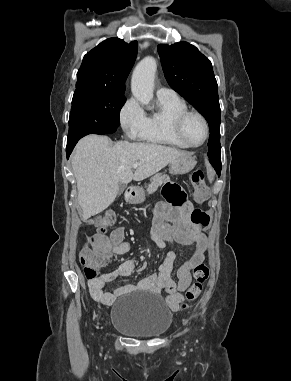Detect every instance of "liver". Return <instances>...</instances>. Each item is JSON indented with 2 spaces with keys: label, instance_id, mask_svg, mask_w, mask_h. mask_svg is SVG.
Instances as JSON below:
<instances>
[{
  "label": "liver",
  "instance_id": "liver-1",
  "mask_svg": "<svg viewBox=\"0 0 291 381\" xmlns=\"http://www.w3.org/2000/svg\"><path fill=\"white\" fill-rule=\"evenodd\" d=\"M110 143L106 136L88 135L78 142L73 152L71 163L83 221L114 202L120 183L142 181L187 154L152 143L119 141L113 146ZM135 163L139 166L133 173Z\"/></svg>",
  "mask_w": 291,
  "mask_h": 381
}]
</instances>
